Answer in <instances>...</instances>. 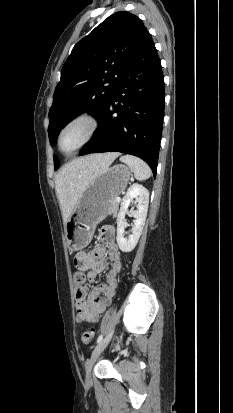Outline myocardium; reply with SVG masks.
<instances>
[{"mask_svg":"<svg viewBox=\"0 0 233 413\" xmlns=\"http://www.w3.org/2000/svg\"><path fill=\"white\" fill-rule=\"evenodd\" d=\"M79 122H83L87 124V127H88L87 133L80 144H78L72 150L66 152L61 147L62 136L68 128H70L71 126ZM98 128H99V120L94 113L90 111H82V112L75 114L63 124V126L58 132L57 140H56L58 150L63 155H66V156L76 153L94 138V136L96 135L98 131Z\"/></svg>","mask_w":233,"mask_h":413,"instance_id":"myocardium-1","label":"myocardium"}]
</instances>
